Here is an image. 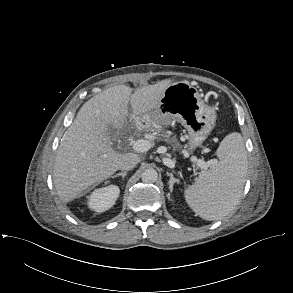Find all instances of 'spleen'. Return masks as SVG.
I'll use <instances>...</instances> for the list:
<instances>
[{
  "label": "spleen",
  "mask_w": 293,
  "mask_h": 293,
  "mask_svg": "<svg viewBox=\"0 0 293 293\" xmlns=\"http://www.w3.org/2000/svg\"><path fill=\"white\" fill-rule=\"evenodd\" d=\"M216 154L219 162L201 172L195 184L184 192L190 208L209 221L219 220L235 208L247 173V154L241 134L227 135Z\"/></svg>",
  "instance_id": "3e777b00"
}]
</instances>
